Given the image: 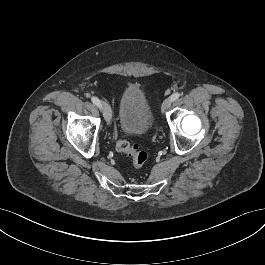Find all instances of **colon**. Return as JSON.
<instances>
[{"label": "colon", "instance_id": "1", "mask_svg": "<svg viewBox=\"0 0 265 265\" xmlns=\"http://www.w3.org/2000/svg\"><path fill=\"white\" fill-rule=\"evenodd\" d=\"M116 149L131 159L132 165L136 170L142 169L148 160V154L141 150L137 143H130L125 138L118 140Z\"/></svg>", "mask_w": 265, "mask_h": 265}]
</instances>
